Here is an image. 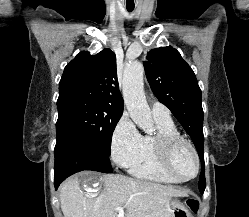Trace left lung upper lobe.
Wrapping results in <instances>:
<instances>
[{"label": "left lung upper lobe", "mask_w": 249, "mask_h": 217, "mask_svg": "<svg viewBox=\"0 0 249 217\" xmlns=\"http://www.w3.org/2000/svg\"><path fill=\"white\" fill-rule=\"evenodd\" d=\"M147 60L144 67L153 93L190 135L204 169V113L201 90L193 70L171 46L150 50ZM202 189L203 184L199 183V190Z\"/></svg>", "instance_id": "1"}]
</instances>
